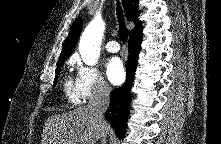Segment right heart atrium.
I'll return each mask as SVG.
<instances>
[{"mask_svg": "<svg viewBox=\"0 0 221 144\" xmlns=\"http://www.w3.org/2000/svg\"><path fill=\"white\" fill-rule=\"evenodd\" d=\"M75 65L77 70L75 86L81 101H91L109 95L110 86L98 68L84 65L79 61H76Z\"/></svg>", "mask_w": 221, "mask_h": 144, "instance_id": "obj_1", "label": "right heart atrium"}]
</instances>
